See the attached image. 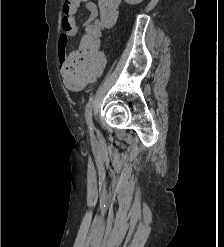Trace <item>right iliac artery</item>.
I'll return each instance as SVG.
<instances>
[{
	"mask_svg": "<svg viewBox=\"0 0 224 247\" xmlns=\"http://www.w3.org/2000/svg\"><path fill=\"white\" fill-rule=\"evenodd\" d=\"M92 107H93V97L90 98L85 110V117L91 134H93V130H94V126L92 122Z\"/></svg>",
	"mask_w": 224,
	"mask_h": 247,
	"instance_id": "obj_1",
	"label": "right iliac artery"
}]
</instances>
